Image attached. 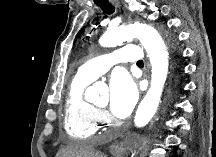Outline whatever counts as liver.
Segmentation results:
<instances>
[{
  "label": "liver",
  "mask_w": 216,
  "mask_h": 157,
  "mask_svg": "<svg viewBox=\"0 0 216 157\" xmlns=\"http://www.w3.org/2000/svg\"><path fill=\"white\" fill-rule=\"evenodd\" d=\"M57 157H103V154L95 151L86 143L72 142L61 150Z\"/></svg>",
  "instance_id": "1"
}]
</instances>
